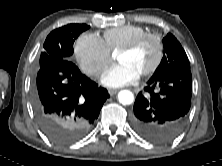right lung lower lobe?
<instances>
[{"label": "right lung lower lobe", "mask_w": 222, "mask_h": 166, "mask_svg": "<svg viewBox=\"0 0 222 166\" xmlns=\"http://www.w3.org/2000/svg\"><path fill=\"white\" fill-rule=\"evenodd\" d=\"M108 91L83 75L70 60L39 68L32 106L42 131L59 144L82 138L98 118Z\"/></svg>", "instance_id": "1"}]
</instances>
